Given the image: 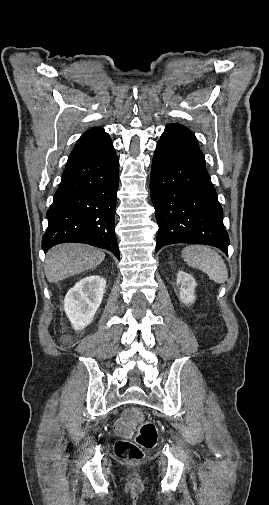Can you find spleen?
I'll return each mask as SVG.
<instances>
[{
    "label": "spleen",
    "instance_id": "3e777b00",
    "mask_svg": "<svg viewBox=\"0 0 269 505\" xmlns=\"http://www.w3.org/2000/svg\"><path fill=\"white\" fill-rule=\"evenodd\" d=\"M186 263L205 272L211 280L218 284L228 278V271L222 257L212 248L204 245H190L182 250Z\"/></svg>",
    "mask_w": 269,
    "mask_h": 505
}]
</instances>
